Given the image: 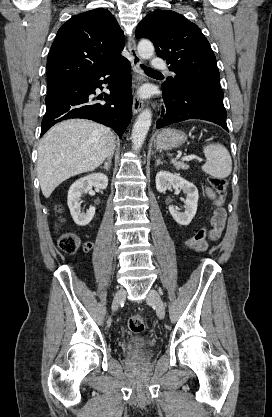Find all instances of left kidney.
I'll return each instance as SVG.
<instances>
[{
    "instance_id": "obj_1",
    "label": "left kidney",
    "mask_w": 272,
    "mask_h": 417,
    "mask_svg": "<svg viewBox=\"0 0 272 417\" xmlns=\"http://www.w3.org/2000/svg\"><path fill=\"white\" fill-rule=\"evenodd\" d=\"M182 190L186 194L185 211L179 212L173 206H169V212L174 220L180 225H188L192 221L197 211L199 199L198 189L196 186L182 178L179 174H173L168 171H160L156 175V189L163 193L168 188Z\"/></svg>"
}]
</instances>
